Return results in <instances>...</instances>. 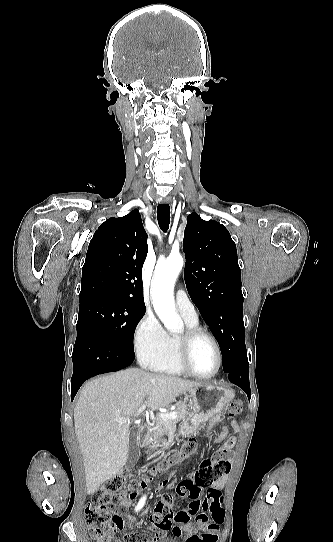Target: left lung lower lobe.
<instances>
[{
    "mask_svg": "<svg viewBox=\"0 0 333 542\" xmlns=\"http://www.w3.org/2000/svg\"><path fill=\"white\" fill-rule=\"evenodd\" d=\"M248 359L247 356L240 361H238L228 372H225L228 379L239 386L248 396V399L251 398V390L249 383V373H248Z\"/></svg>",
    "mask_w": 333,
    "mask_h": 542,
    "instance_id": "left-lung-lower-lobe-1",
    "label": "left lung lower lobe"
}]
</instances>
